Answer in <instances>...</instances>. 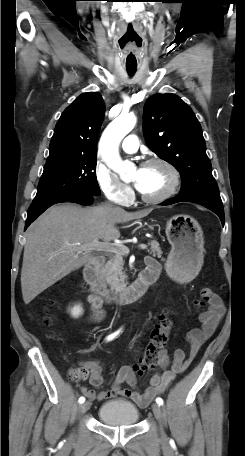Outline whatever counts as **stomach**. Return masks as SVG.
Returning <instances> with one entry per match:
<instances>
[{"instance_id":"0dacf381","label":"stomach","mask_w":245,"mask_h":456,"mask_svg":"<svg viewBox=\"0 0 245 456\" xmlns=\"http://www.w3.org/2000/svg\"><path fill=\"white\" fill-rule=\"evenodd\" d=\"M165 233L171 244L167 272L177 282H188L198 274L203 264L202 228L190 215L178 214L167 221Z\"/></svg>"}]
</instances>
